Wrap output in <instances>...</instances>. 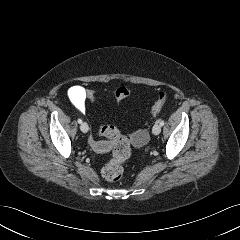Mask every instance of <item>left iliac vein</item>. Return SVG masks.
<instances>
[{
    "label": "left iliac vein",
    "mask_w": 240,
    "mask_h": 240,
    "mask_svg": "<svg viewBox=\"0 0 240 240\" xmlns=\"http://www.w3.org/2000/svg\"><path fill=\"white\" fill-rule=\"evenodd\" d=\"M152 132L154 135H158L161 132V125L159 123L154 124Z\"/></svg>",
    "instance_id": "left-iliac-vein-1"
}]
</instances>
